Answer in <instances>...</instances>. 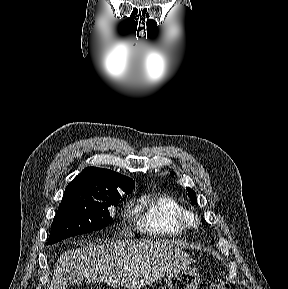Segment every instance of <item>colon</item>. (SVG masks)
<instances>
[{"label": "colon", "mask_w": 288, "mask_h": 289, "mask_svg": "<svg viewBox=\"0 0 288 289\" xmlns=\"http://www.w3.org/2000/svg\"><path fill=\"white\" fill-rule=\"evenodd\" d=\"M208 289H230V286L222 279L213 278L209 281Z\"/></svg>", "instance_id": "1"}]
</instances>
